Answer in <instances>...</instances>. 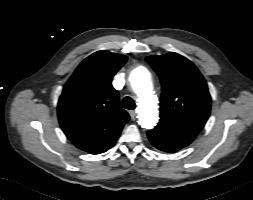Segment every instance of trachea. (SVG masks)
<instances>
[{
  "label": "trachea",
  "mask_w": 253,
  "mask_h": 200,
  "mask_svg": "<svg viewBox=\"0 0 253 200\" xmlns=\"http://www.w3.org/2000/svg\"><path fill=\"white\" fill-rule=\"evenodd\" d=\"M122 106L125 109L133 110L135 109V103L134 100L131 97H125L122 101Z\"/></svg>",
  "instance_id": "1"
}]
</instances>
